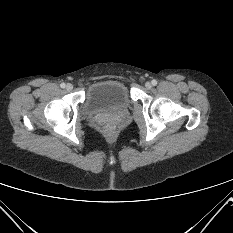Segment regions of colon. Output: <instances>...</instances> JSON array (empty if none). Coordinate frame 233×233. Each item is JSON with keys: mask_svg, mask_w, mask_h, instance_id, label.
Listing matches in <instances>:
<instances>
[{"mask_svg": "<svg viewBox=\"0 0 233 233\" xmlns=\"http://www.w3.org/2000/svg\"><path fill=\"white\" fill-rule=\"evenodd\" d=\"M114 132H115V128L111 123L105 124L104 127L102 128V133L107 137L113 136Z\"/></svg>", "mask_w": 233, "mask_h": 233, "instance_id": "5ec220e1", "label": "colon"}]
</instances>
